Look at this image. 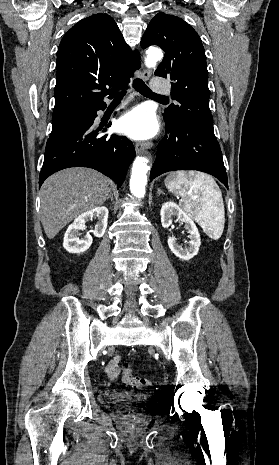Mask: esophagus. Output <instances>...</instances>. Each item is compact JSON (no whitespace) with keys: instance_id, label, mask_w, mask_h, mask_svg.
<instances>
[{"instance_id":"34e87169","label":"esophagus","mask_w":279,"mask_h":465,"mask_svg":"<svg viewBox=\"0 0 279 465\" xmlns=\"http://www.w3.org/2000/svg\"><path fill=\"white\" fill-rule=\"evenodd\" d=\"M151 76V71L149 69H144L141 73V78L143 80H148ZM152 146V144L150 142H145V143H136L135 144V150H136V153L140 154L142 153L144 150L150 148Z\"/></svg>"}]
</instances>
